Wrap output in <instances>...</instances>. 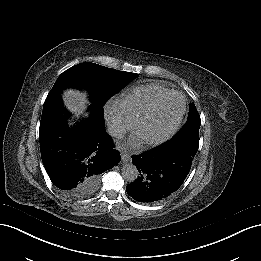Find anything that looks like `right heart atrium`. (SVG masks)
<instances>
[{"instance_id": "obj_1", "label": "right heart atrium", "mask_w": 261, "mask_h": 261, "mask_svg": "<svg viewBox=\"0 0 261 261\" xmlns=\"http://www.w3.org/2000/svg\"><path fill=\"white\" fill-rule=\"evenodd\" d=\"M116 102H109L105 106L104 117L111 133L115 136H122L129 130L130 124L127 117L117 107Z\"/></svg>"}]
</instances>
